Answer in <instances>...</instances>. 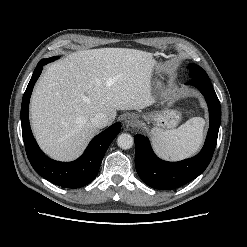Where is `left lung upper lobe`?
Listing matches in <instances>:
<instances>
[{
  "instance_id": "left-lung-upper-lobe-1",
  "label": "left lung upper lobe",
  "mask_w": 247,
  "mask_h": 247,
  "mask_svg": "<svg viewBox=\"0 0 247 247\" xmlns=\"http://www.w3.org/2000/svg\"><path fill=\"white\" fill-rule=\"evenodd\" d=\"M188 70H189V77L190 78H197V79H201L204 81H210L207 73L198 65L196 64H190L188 66Z\"/></svg>"
}]
</instances>
